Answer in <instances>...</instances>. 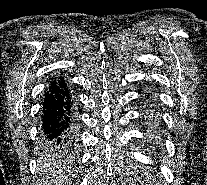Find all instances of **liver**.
<instances>
[{"instance_id":"liver-1","label":"liver","mask_w":207,"mask_h":185,"mask_svg":"<svg viewBox=\"0 0 207 185\" xmlns=\"http://www.w3.org/2000/svg\"><path fill=\"white\" fill-rule=\"evenodd\" d=\"M48 167V163H45V165H43V167H41V171H45V169H47Z\"/></svg>"}]
</instances>
